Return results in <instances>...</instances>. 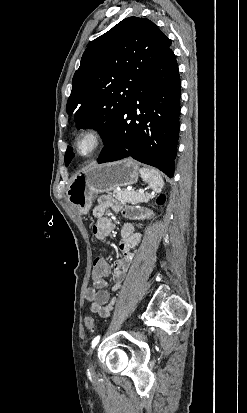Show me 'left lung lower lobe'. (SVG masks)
<instances>
[{"label":"left lung lower lobe","instance_id":"1","mask_svg":"<svg viewBox=\"0 0 247 413\" xmlns=\"http://www.w3.org/2000/svg\"><path fill=\"white\" fill-rule=\"evenodd\" d=\"M181 83L172 49L142 80L105 142L99 164L133 157L174 176Z\"/></svg>","mask_w":247,"mask_h":413}]
</instances>
